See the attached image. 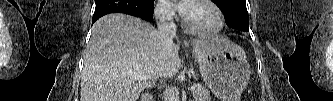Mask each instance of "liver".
Returning <instances> with one entry per match:
<instances>
[{"label": "liver", "instance_id": "obj_1", "mask_svg": "<svg viewBox=\"0 0 333 101\" xmlns=\"http://www.w3.org/2000/svg\"><path fill=\"white\" fill-rule=\"evenodd\" d=\"M178 45L165 49L159 32L148 22L113 13L93 25L81 76L80 101H137L159 78L178 73ZM205 40L193 41L195 60L206 55ZM132 74L146 76L137 80Z\"/></svg>", "mask_w": 333, "mask_h": 101}]
</instances>
